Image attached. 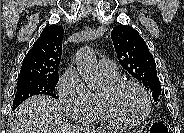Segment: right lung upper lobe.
I'll return each mask as SVG.
<instances>
[{
	"label": "right lung upper lobe",
	"instance_id": "1",
	"mask_svg": "<svg viewBox=\"0 0 184 133\" xmlns=\"http://www.w3.org/2000/svg\"><path fill=\"white\" fill-rule=\"evenodd\" d=\"M63 34L64 29L61 26L45 27L25 56L18 79L58 76Z\"/></svg>",
	"mask_w": 184,
	"mask_h": 133
}]
</instances>
